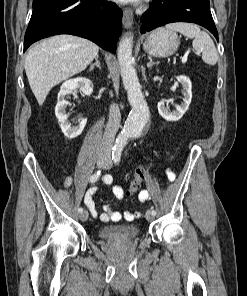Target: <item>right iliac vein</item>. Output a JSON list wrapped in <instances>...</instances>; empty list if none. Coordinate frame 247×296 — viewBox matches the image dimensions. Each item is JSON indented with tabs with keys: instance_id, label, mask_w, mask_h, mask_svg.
I'll list each match as a JSON object with an SVG mask.
<instances>
[{
	"instance_id": "obj_1",
	"label": "right iliac vein",
	"mask_w": 247,
	"mask_h": 296,
	"mask_svg": "<svg viewBox=\"0 0 247 296\" xmlns=\"http://www.w3.org/2000/svg\"><path fill=\"white\" fill-rule=\"evenodd\" d=\"M105 162H106V158L104 155H99L97 157V161H96L97 167H101ZM79 217L82 221H86L88 219V212L83 211Z\"/></svg>"
}]
</instances>
